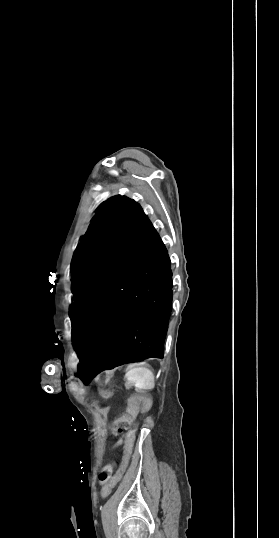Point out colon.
<instances>
[{
    "instance_id": "obj_1",
    "label": "colon",
    "mask_w": 279,
    "mask_h": 538,
    "mask_svg": "<svg viewBox=\"0 0 279 538\" xmlns=\"http://www.w3.org/2000/svg\"><path fill=\"white\" fill-rule=\"evenodd\" d=\"M140 401H141V398L139 396H134L131 398L125 413H123L121 416L115 419V421L112 424V431L114 433H119L124 430H129L131 428L134 422V419L139 411ZM135 439H136V429L129 430V432L127 433L125 437L120 465L117 471L113 475H112L113 463L110 461L111 453H113V451L110 452V455L106 456L104 460V465L99 474L100 481L105 483L101 491L103 498L109 497L113 488L120 481L122 474L124 472V469L128 463L132 448L135 443Z\"/></svg>"
}]
</instances>
